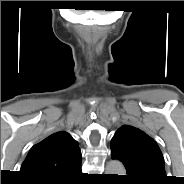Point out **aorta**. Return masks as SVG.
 <instances>
[{"label": "aorta", "instance_id": "obj_1", "mask_svg": "<svg viewBox=\"0 0 184 184\" xmlns=\"http://www.w3.org/2000/svg\"><path fill=\"white\" fill-rule=\"evenodd\" d=\"M107 174L124 175L125 168L123 164L117 160L109 161L106 165Z\"/></svg>", "mask_w": 184, "mask_h": 184}]
</instances>
